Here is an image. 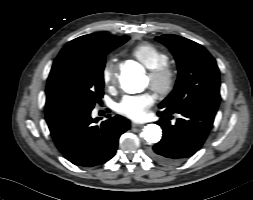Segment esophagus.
Returning <instances> with one entry per match:
<instances>
[{"instance_id":"1","label":"esophagus","mask_w":253,"mask_h":200,"mask_svg":"<svg viewBox=\"0 0 253 200\" xmlns=\"http://www.w3.org/2000/svg\"><path fill=\"white\" fill-rule=\"evenodd\" d=\"M131 125H132V127H141L142 126V124L136 123V122H133Z\"/></svg>"}]
</instances>
